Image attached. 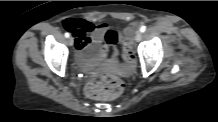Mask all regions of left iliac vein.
<instances>
[{"mask_svg":"<svg viewBox=\"0 0 218 122\" xmlns=\"http://www.w3.org/2000/svg\"><path fill=\"white\" fill-rule=\"evenodd\" d=\"M142 33L140 32V31H138L137 33H136V35H135V40L137 41V42H139V41H141L142 40Z\"/></svg>","mask_w":218,"mask_h":122,"instance_id":"obj_1","label":"left iliac vein"}]
</instances>
